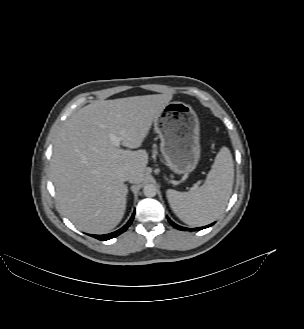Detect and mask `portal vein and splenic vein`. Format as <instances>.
<instances>
[{"label": "portal vein and splenic vein", "mask_w": 304, "mask_h": 329, "mask_svg": "<svg viewBox=\"0 0 304 329\" xmlns=\"http://www.w3.org/2000/svg\"><path fill=\"white\" fill-rule=\"evenodd\" d=\"M110 140L112 141V143H113L115 146H119V145H120V142H121V140H122V138H121V137H118V136H116V135H114V134H111V135H110Z\"/></svg>", "instance_id": "portal-vein-and-splenic-vein-1"}]
</instances>
